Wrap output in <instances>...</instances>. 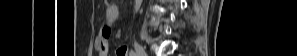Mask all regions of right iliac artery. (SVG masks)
<instances>
[{"label": "right iliac artery", "mask_w": 297, "mask_h": 56, "mask_svg": "<svg viewBox=\"0 0 297 56\" xmlns=\"http://www.w3.org/2000/svg\"><path fill=\"white\" fill-rule=\"evenodd\" d=\"M130 56H137V54L135 52L131 51Z\"/></svg>", "instance_id": "right-iliac-artery-1"}]
</instances>
